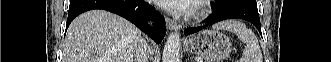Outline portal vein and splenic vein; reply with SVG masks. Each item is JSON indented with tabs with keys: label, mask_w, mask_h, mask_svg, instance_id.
Here are the masks:
<instances>
[{
	"label": "portal vein and splenic vein",
	"mask_w": 331,
	"mask_h": 62,
	"mask_svg": "<svg viewBox=\"0 0 331 62\" xmlns=\"http://www.w3.org/2000/svg\"><path fill=\"white\" fill-rule=\"evenodd\" d=\"M198 62H202V60H197Z\"/></svg>",
	"instance_id": "obj_1"
}]
</instances>
